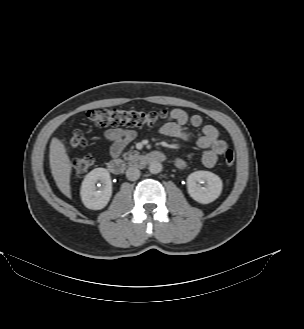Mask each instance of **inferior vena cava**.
Segmentation results:
<instances>
[{
    "instance_id": "inferior-vena-cava-1",
    "label": "inferior vena cava",
    "mask_w": 304,
    "mask_h": 329,
    "mask_svg": "<svg viewBox=\"0 0 304 329\" xmlns=\"http://www.w3.org/2000/svg\"><path fill=\"white\" fill-rule=\"evenodd\" d=\"M126 177L130 181H135L140 177V170L136 167H129L126 171Z\"/></svg>"
}]
</instances>
